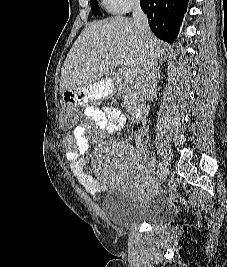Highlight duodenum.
Returning <instances> with one entry per match:
<instances>
[{
    "instance_id": "obj_1",
    "label": "duodenum",
    "mask_w": 227,
    "mask_h": 267,
    "mask_svg": "<svg viewBox=\"0 0 227 267\" xmlns=\"http://www.w3.org/2000/svg\"><path fill=\"white\" fill-rule=\"evenodd\" d=\"M112 83L122 92H126L125 87L123 86L122 77L120 74H114L111 78ZM130 114L134 119H139L142 117L145 111V105L143 102L138 101L136 104L130 107Z\"/></svg>"
}]
</instances>
